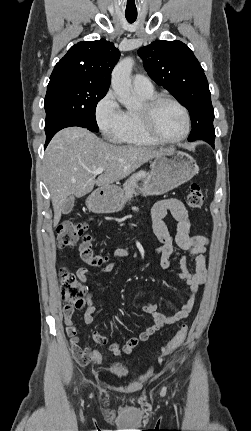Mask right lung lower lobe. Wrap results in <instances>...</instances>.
Returning a JSON list of instances; mask_svg holds the SVG:
<instances>
[{
	"instance_id": "right-lung-lower-lobe-1",
	"label": "right lung lower lobe",
	"mask_w": 251,
	"mask_h": 431,
	"mask_svg": "<svg viewBox=\"0 0 251 431\" xmlns=\"http://www.w3.org/2000/svg\"><path fill=\"white\" fill-rule=\"evenodd\" d=\"M70 126H78V125H76L75 123H72V122H69V123H66V124H64V125H61V126H59V127H57V128H55V129H53V130H50V131H48V132H46V144H45V147L47 146V144L50 142V140L52 139V137L59 131V130H61V129H63V128H65V127H70ZM79 127H83V126H79ZM84 128H86V127H84ZM90 131H93V130H90ZM94 132V131H93Z\"/></svg>"
}]
</instances>
